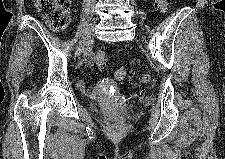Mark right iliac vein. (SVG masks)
<instances>
[{"instance_id": "1", "label": "right iliac vein", "mask_w": 225, "mask_h": 159, "mask_svg": "<svg viewBox=\"0 0 225 159\" xmlns=\"http://www.w3.org/2000/svg\"><path fill=\"white\" fill-rule=\"evenodd\" d=\"M93 28L94 26L91 25L84 33V35L82 36L77 51H76V55L79 57L81 55V53L84 51L86 45L88 44V42L90 41L91 37H92V32H93Z\"/></svg>"}]
</instances>
